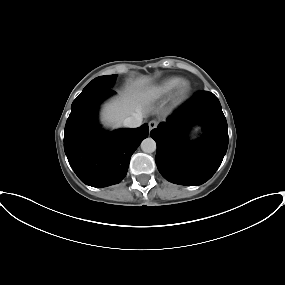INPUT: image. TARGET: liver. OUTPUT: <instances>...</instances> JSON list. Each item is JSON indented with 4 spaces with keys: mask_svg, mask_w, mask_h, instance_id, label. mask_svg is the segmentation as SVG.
Listing matches in <instances>:
<instances>
[{
    "mask_svg": "<svg viewBox=\"0 0 285 285\" xmlns=\"http://www.w3.org/2000/svg\"><path fill=\"white\" fill-rule=\"evenodd\" d=\"M150 78L142 77L135 81L121 97L111 100L103 106L101 120L113 128L120 127L124 119L134 114L145 115V107L152 90L147 88Z\"/></svg>",
    "mask_w": 285,
    "mask_h": 285,
    "instance_id": "obj_1",
    "label": "liver"
}]
</instances>
